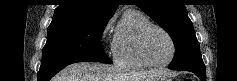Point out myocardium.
I'll return each instance as SVG.
<instances>
[{
	"mask_svg": "<svg viewBox=\"0 0 237 81\" xmlns=\"http://www.w3.org/2000/svg\"><path fill=\"white\" fill-rule=\"evenodd\" d=\"M152 30H159L160 32H162L164 35H166V37L169 39V41L171 43V47H172L171 56L166 62L155 63L149 58V56L147 54L146 39H147V36H148L149 32L152 31ZM138 50H139L140 56L147 63L148 66L155 67V68H164V67L168 66L173 61V59L175 58L176 44H175V41H174L173 37L171 36V34L167 30H165L163 27H161L159 25L150 24V25L146 26L141 31V33L139 35Z\"/></svg>",
	"mask_w": 237,
	"mask_h": 81,
	"instance_id": "obj_1",
	"label": "myocardium"
}]
</instances>
